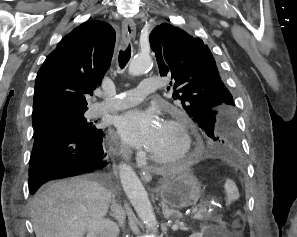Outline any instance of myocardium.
I'll return each mask as SVG.
<instances>
[{"label":"myocardium","mask_w":297,"mask_h":237,"mask_svg":"<svg viewBox=\"0 0 297 237\" xmlns=\"http://www.w3.org/2000/svg\"><path fill=\"white\" fill-rule=\"evenodd\" d=\"M164 124L174 129L180 135L181 148L177 154L171 157H159L149 152L148 156L150 160L160 166L171 165L183 161L191 153L193 146L188 122L184 116L175 115L171 118L166 119L164 121Z\"/></svg>","instance_id":"obj_1"}]
</instances>
